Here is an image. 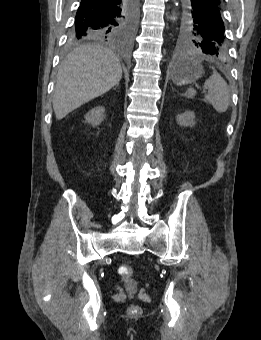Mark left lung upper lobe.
<instances>
[{"instance_id": "5c2ea615", "label": "left lung upper lobe", "mask_w": 261, "mask_h": 340, "mask_svg": "<svg viewBox=\"0 0 261 340\" xmlns=\"http://www.w3.org/2000/svg\"><path fill=\"white\" fill-rule=\"evenodd\" d=\"M177 42L182 47L197 48L207 55L226 60L228 42L223 12L204 18L192 9L190 0H180Z\"/></svg>"}]
</instances>
